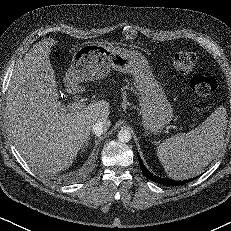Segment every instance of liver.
<instances>
[{
  "instance_id": "1",
  "label": "liver",
  "mask_w": 231,
  "mask_h": 231,
  "mask_svg": "<svg viewBox=\"0 0 231 231\" xmlns=\"http://www.w3.org/2000/svg\"><path fill=\"white\" fill-rule=\"evenodd\" d=\"M55 43L52 38L38 42L15 66L6 102L8 127L18 151L32 167L46 173L69 168L93 125L110 114L105 100L75 112H67L58 101L49 59Z\"/></svg>"
}]
</instances>
